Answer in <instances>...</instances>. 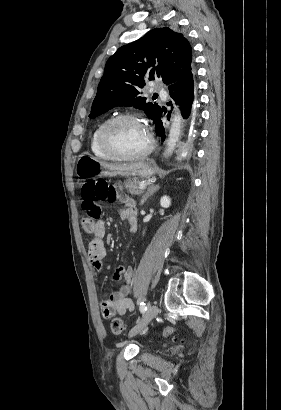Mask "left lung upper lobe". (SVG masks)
I'll return each mask as SVG.
<instances>
[{"label": "left lung upper lobe", "mask_w": 281, "mask_h": 410, "mask_svg": "<svg viewBox=\"0 0 281 410\" xmlns=\"http://www.w3.org/2000/svg\"><path fill=\"white\" fill-rule=\"evenodd\" d=\"M191 45L170 28L150 30L140 39L120 47L105 66L89 118L116 106L144 110L153 121L161 108L141 97L145 79L162 78L169 87L192 72Z\"/></svg>", "instance_id": "left-lung-upper-lobe-1"}]
</instances>
